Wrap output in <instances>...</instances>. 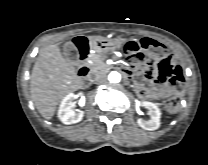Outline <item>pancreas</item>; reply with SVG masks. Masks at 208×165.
Listing matches in <instances>:
<instances>
[{
    "label": "pancreas",
    "mask_w": 208,
    "mask_h": 165,
    "mask_svg": "<svg viewBox=\"0 0 208 165\" xmlns=\"http://www.w3.org/2000/svg\"><path fill=\"white\" fill-rule=\"evenodd\" d=\"M103 60H104V57L101 55L95 54L92 56L93 64L90 66V72L92 74L97 75L108 69V66L104 63Z\"/></svg>",
    "instance_id": "cf45deb5"
}]
</instances>
